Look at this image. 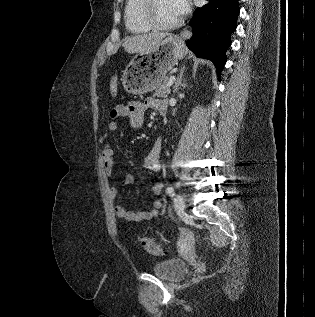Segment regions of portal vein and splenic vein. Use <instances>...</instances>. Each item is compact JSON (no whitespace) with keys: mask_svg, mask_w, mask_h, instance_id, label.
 Returning <instances> with one entry per match:
<instances>
[{"mask_svg":"<svg viewBox=\"0 0 315 317\" xmlns=\"http://www.w3.org/2000/svg\"><path fill=\"white\" fill-rule=\"evenodd\" d=\"M175 81V76H171L168 80L167 86L171 87Z\"/></svg>","mask_w":315,"mask_h":317,"instance_id":"portal-vein-and-splenic-vein-1","label":"portal vein and splenic vein"}]
</instances>
